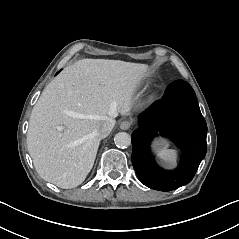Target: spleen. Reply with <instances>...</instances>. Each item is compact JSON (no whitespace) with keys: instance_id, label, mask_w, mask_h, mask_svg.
<instances>
[{"instance_id":"spleen-1","label":"spleen","mask_w":239,"mask_h":239,"mask_svg":"<svg viewBox=\"0 0 239 239\" xmlns=\"http://www.w3.org/2000/svg\"><path fill=\"white\" fill-rule=\"evenodd\" d=\"M157 156L166 164L174 165L177 160V151L174 149H162L157 153Z\"/></svg>"}]
</instances>
